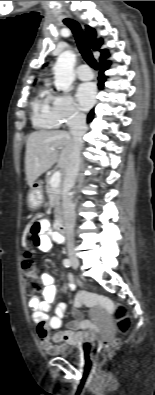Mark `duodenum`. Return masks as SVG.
I'll use <instances>...</instances> for the list:
<instances>
[{"mask_svg":"<svg viewBox=\"0 0 155 395\" xmlns=\"http://www.w3.org/2000/svg\"><path fill=\"white\" fill-rule=\"evenodd\" d=\"M55 229H56V232L58 233V235L60 237L64 236L66 227H65V222H64V220L62 218H58L56 220V222H55Z\"/></svg>","mask_w":155,"mask_h":395,"instance_id":"410a0bca","label":"duodenum"}]
</instances>
